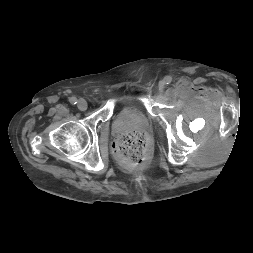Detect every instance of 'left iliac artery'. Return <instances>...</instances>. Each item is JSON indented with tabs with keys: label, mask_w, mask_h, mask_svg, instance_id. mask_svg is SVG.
Instances as JSON below:
<instances>
[{
	"label": "left iliac artery",
	"mask_w": 253,
	"mask_h": 253,
	"mask_svg": "<svg viewBox=\"0 0 253 253\" xmlns=\"http://www.w3.org/2000/svg\"><path fill=\"white\" fill-rule=\"evenodd\" d=\"M171 81H172V77H171V76H166V77L164 78L165 84H170Z\"/></svg>",
	"instance_id": "1"
}]
</instances>
